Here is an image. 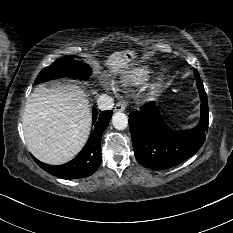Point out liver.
I'll list each match as a JSON object with an SVG mask.
<instances>
[{"label": "liver", "instance_id": "obj_1", "mask_svg": "<svg viewBox=\"0 0 233 233\" xmlns=\"http://www.w3.org/2000/svg\"><path fill=\"white\" fill-rule=\"evenodd\" d=\"M113 72L127 65L124 54L114 52L106 63ZM86 93L76 85H38L28 97L22 116L28 150L51 165L73 159L85 145L91 131V113Z\"/></svg>", "mask_w": 233, "mask_h": 233}]
</instances>
